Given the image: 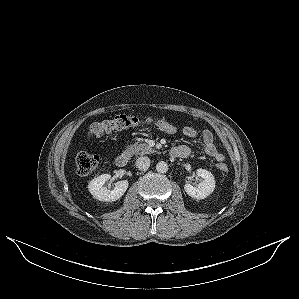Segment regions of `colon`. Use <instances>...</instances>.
Wrapping results in <instances>:
<instances>
[{"label": "colon", "instance_id": "1", "mask_svg": "<svg viewBox=\"0 0 299 299\" xmlns=\"http://www.w3.org/2000/svg\"><path fill=\"white\" fill-rule=\"evenodd\" d=\"M139 125H153L168 135H175L179 132L176 125L164 119H141L135 116L120 114L112 119L92 123L88 129L87 136L89 138H96L107 132L134 128ZM98 164V156L87 152H80L75 159L76 172L81 176L92 174L97 169ZM218 169L226 172L228 167L226 164L220 163L218 164Z\"/></svg>", "mask_w": 299, "mask_h": 299}]
</instances>
